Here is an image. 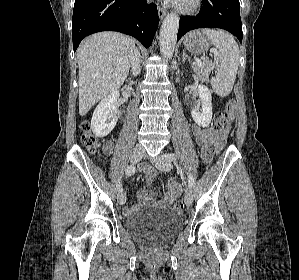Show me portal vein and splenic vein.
Instances as JSON below:
<instances>
[{
    "mask_svg": "<svg viewBox=\"0 0 299 280\" xmlns=\"http://www.w3.org/2000/svg\"><path fill=\"white\" fill-rule=\"evenodd\" d=\"M195 63L199 66V67H201V68H203V69H205V70H207V71H211V70H213V68H214V65L212 66V67H210V68H205V66L203 65V63L201 62V60H199L198 58L197 59H195Z\"/></svg>",
    "mask_w": 299,
    "mask_h": 280,
    "instance_id": "obj_1",
    "label": "portal vein and splenic vein"
}]
</instances>
